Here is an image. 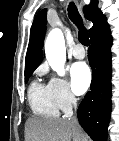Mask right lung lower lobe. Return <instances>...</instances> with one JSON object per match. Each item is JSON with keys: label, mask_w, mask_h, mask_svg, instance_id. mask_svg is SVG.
<instances>
[{"label": "right lung lower lobe", "mask_w": 119, "mask_h": 141, "mask_svg": "<svg viewBox=\"0 0 119 141\" xmlns=\"http://www.w3.org/2000/svg\"><path fill=\"white\" fill-rule=\"evenodd\" d=\"M90 36L88 59L92 68V82L79 105L80 125L94 141H106L111 113V56L112 36L106 18Z\"/></svg>", "instance_id": "1"}]
</instances>
